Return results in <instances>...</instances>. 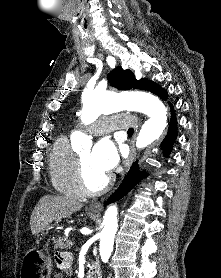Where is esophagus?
<instances>
[{
	"instance_id": "esophagus-1",
	"label": "esophagus",
	"mask_w": 221,
	"mask_h": 278,
	"mask_svg": "<svg viewBox=\"0 0 221 278\" xmlns=\"http://www.w3.org/2000/svg\"><path fill=\"white\" fill-rule=\"evenodd\" d=\"M135 159V151H134V147L132 146L131 147V152H130V155L129 157L125 160V163H124V174H123V177L125 176V174L128 172L131 164L133 163ZM105 197L101 198L100 200L98 199H94L90 205H89V208L93 211H100L102 209V204H103V201H104Z\"/></svg>"
}]
</instances>
